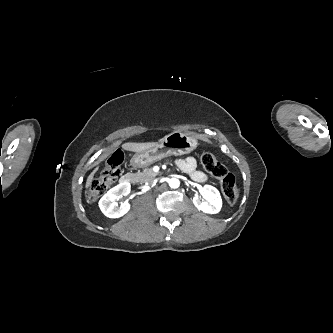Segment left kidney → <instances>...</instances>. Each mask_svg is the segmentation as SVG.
<instances>
[{"label":"left kidney","instance_id":"left-kidney-1","mask_svg":"<svg viewBox=\"0 0 333 333\" xmlns=\"http://www.w3.org/2000/svg\"><path fill=\"white\" fill-rule=\"evenodd\" d=\"M200 193L205 201L201 200L197 195L194 196L193 203L197 209L209 214H215L221 210L222 199L219 191L215 187L211 185H205L201 189Z\"/></svg>","mask_w":333,"mask_h":333}]
</instances>
